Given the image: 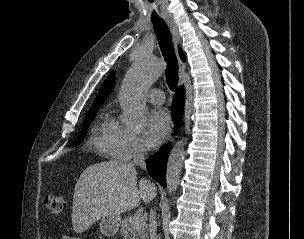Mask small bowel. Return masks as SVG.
Masks as SVG:
<instances>
[{
    "label": "small bowel",
    "instance_id": "obj_1",
    "mask_svg": "<svg viewBox=\"0 0 304 239\" xmlns=\"http://www.w3.org/2000/svg\"><path fill=\"white\" fill-rule=\"evenodd\" d=\"M60 239H75V238H73V237H71L70 235H68V234H61L60 235Z\"/></svg>",
    "mask_w": 304,
    "mask_h": 239
}]
</instances>
